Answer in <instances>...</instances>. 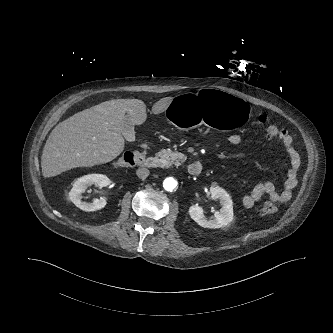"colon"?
Wrapping results in <instances>:
<instances>
[{
  "label": "colon",
  "instance_id": "obj_1",
  "mask_svg": "<svg viewBox=\"0 0 333 333\" xmlns=\"http://www.w3.org/2000/svg\"><path fill=\"white\" fill-rule=\"evenodd\" d=\"M259 123L263 127L267 137L278 138L280 129L275 125L271 124L266 116H260ZM145 154V150L127 151L116 161V165L124 167L140 164L143 161ZM276 210L277 207L275 202L271 199H268L264 202L260 212L262 215L267 216L275 213Z\"/></svg>",
  "mask_w": 333,
  "mask_h": 333
}]
</instances>
